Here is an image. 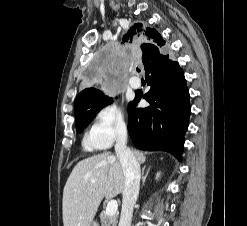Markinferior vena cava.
Here are the masks:
<instances>
[{
	"label": "inferior vena cava",
	"instance_id": "1",
	"mask_svg": "<svg viewBox=\"0 0 247 226\" xmlns=\"http://www.w3.org/2000/svg\"><path fill=\"white\" fill-rule=\"evenodd\" d=\"M115 152L125 176L119 226H131L133 208L139 195L141 174L137 158L127 147L126 127H121L118 131Z\"/></svg>",
	"mask_w": 247,
	"mask_h": 226
}]
</instances>
